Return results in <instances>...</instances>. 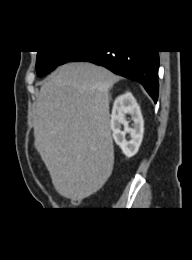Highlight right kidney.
I'll return each instance as SVG.
<instances>
[{
    "label": "right kidney",
    "mask_w": 192,
    "mask_h": 260,
    "mask_svg": "<svg viewBox=\"0 0 192 260\" xmlns=\"http://www.w3.org/2000/svg\"><path fill=\"white\" fill-rule=\"evenodd\" d=\"M127 115L132 117V127H129V122L126 120ZM110 127L113 139L122 152L127 157L134 156L143 139L144 121L140 107L131 93H125L114 101ZM126 134H129L128 139H126Z\"/></svg>",
    "instance_id": "ca27d5eb"
}]
</instances>
